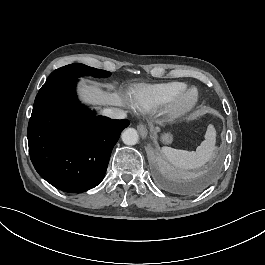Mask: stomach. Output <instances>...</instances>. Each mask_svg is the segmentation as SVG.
I'll use <instances>...</instances> for the list:
<instances>
[{
  "instance_id": "stomach-1",
  "label": "stomach",
  "mask_w": 265,
  "mask_h": 265,
  "mask_svg": "<svg viewBox=\"0 0 265 265\" xmlns=\"http://www.w3.org/2000/svg\"><path fill=\"white\" fill-rule=\"evenodd\" d=\"M163 141H164L165 143H169V142L171 141V136H170V135H164V136H163Z\"/></svg>"
}]
</instances>
